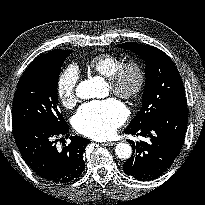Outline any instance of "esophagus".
Here are the masks:
<instances>
[{
    "label": "esophagus",
    "mask_w": 205,
    "mask_h": 205,
    "mask_svg": "<svg viewBox=\"0 0 205 205\" xmlns=\"http://www.w3.org/2000/svg\"><path fill=\"white\" fill-rule=\"evenodd\" d=\"M116 144V142H105V143H103L102 145H104V146H113V145H115Z\"/></svg>",
    "instance_id": "esophagus-1"
}]
</instances>
